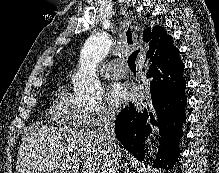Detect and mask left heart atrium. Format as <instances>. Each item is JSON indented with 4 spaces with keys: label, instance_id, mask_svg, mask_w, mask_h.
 Returning a JSON list of instances; mask_svg holds the SVG:
<instances>
[{
    "label": "left heart atrium",
    "instance_id": "left-heart-atrium-1",
    "mask_svg": "<svg viewBox=\"0 0 219 173\" xmlns=\"http://www.w3.org/2000/svg\"><path fill=\"white\" fill-rule=\"evenodd\" d=\"M107 97L109 102L114 106L122 104L128 97L126 86L121 82L112 83L108 88Z\"/></svg>",
    "mask_w": 219,
    "mask_h": 173
}]
</instances>
